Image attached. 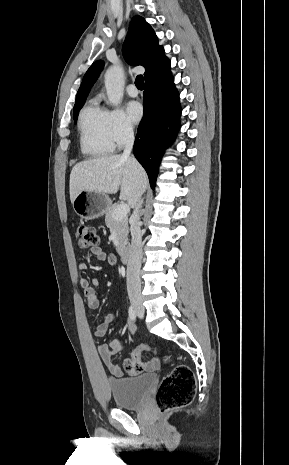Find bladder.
Returning a JSON list of instances; mask_svg holds the SVG:
<instances>
[{
  "label": "bladder",
  "mask_w": 289,
  "mask_h": 465,
  "mask_svg": "<svg viewBox=\"0 0 289 465\" xmlns=\"http://www.w3.org/2000/svg\"><path fill=\"white\" fill-rule=\"evenodd\" d=\"M155 381L154 374H144L137 377L109 379L108 385L115 405L121 409L133 410L145 403Z\"/></svg>",
  "instance_id": "bladder-1"
}]
</instances>
